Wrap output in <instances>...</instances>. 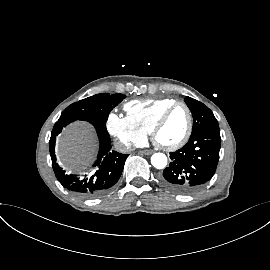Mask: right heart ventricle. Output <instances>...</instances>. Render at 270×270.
I'll list each match as a JSON object with an SVG mask.
<instances>
[{"label": "right heart ventricle", "instance_id": "obj_1", "mask_svg": "<svg viewBox=\"0 0 270 270\" xmlns=\"http://www.w3.org/2000/svg\"><path fill=\"white\" fill-rule=\"evenodd\" d=\"M173 98L132 100L125 104L127 116L147 135L160 117L172 104Z\"/></svg>", "mask_w": 270, "mask_h": 270}]
</instances>
